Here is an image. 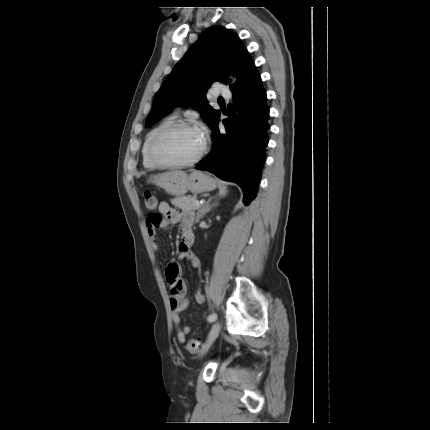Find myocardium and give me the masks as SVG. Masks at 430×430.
<instances>
[{"label":"myocardium","instance_id":"1","mask_svg":"<svg viewBox=\"0 0 430 430\" xmlns=\"http://www.w3.org/2000/svg\"><path fill=\"white\" fill-rule=\"evenodd\" d=\"M182 128L197 129L198 130V128L193 123H190L188 121H182V120L181 121H173V122L169 123L168 125H166L165 127H163L162 129H160L151 138L149 145H148V155H149V158L151 159V161L154 164H156L158 167H162V168L188 167V166H192V165L198 163L205 156V154L207 152V141H206V139L204 140L203 147H202L201 151L194 158L187 160V161H181V162L165 161V160L161 159L156 154V146H157L158 142L161 141L165 136H167L171 132H173L177 129H182Z\"/></svg>","mask_w":430,"mask_h":430}]
</instances>
